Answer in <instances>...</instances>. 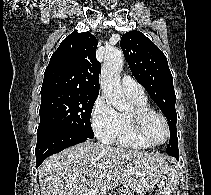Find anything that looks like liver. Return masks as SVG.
Instances as JSON below:
<instances>
[{"instance_id": "6515ba94", "label": "liver", "mask_w": 211, "mask_h": 195, "mask_svg": "<svg viewBox=\"0 0 211 195\" xmlns=\"http://www.w3.org/2000/svg\"><path fill=\"white\" fill-rule=\"evenodd\" d=\"M170 168L160 154L86 141L47 158L38 178L41 195L103 194L119 184L146 193Z\"/></svg>"}]
</instances>
